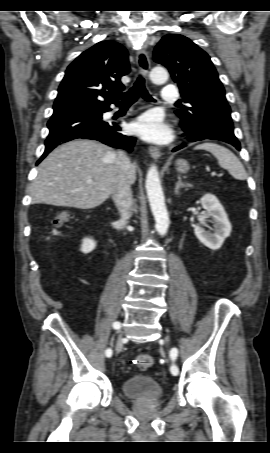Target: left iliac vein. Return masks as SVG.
<instances>
[{
    "mask_svg": "<svg viewBox=\"0 0 270 453\" xmlns=\"http://www.w3.org/2000/svg\"><path fill=\"white\" fill-rule=\"evenodd\" d=\"M165 342H166V345L169 344V337L168 336L166 337Z\"/></svg>",
    "mask_w": 270,
    "mask_h": 453,
    "instance_id": "1",
    "label": "left iliac vein"
}]
</instances>
